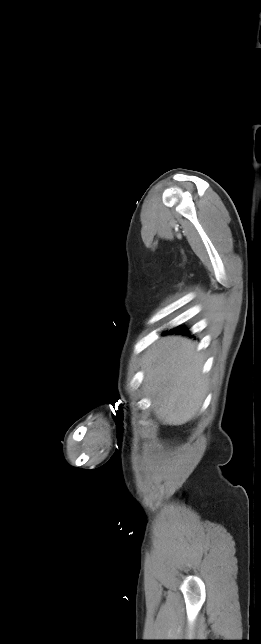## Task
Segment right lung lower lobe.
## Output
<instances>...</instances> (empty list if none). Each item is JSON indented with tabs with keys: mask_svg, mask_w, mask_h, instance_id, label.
<instances>
[{
	"mask_svg": "<svg viewBox=\"0 0 261 644\" xmlns=\"http://www.w3.org/2000/svg\"><path fill=\"white\" fill-rule=\"evenodd\" d=\"M177 331H178V333H182L184 335L189 334V331L187 329H184V328H181V327L174 328V329L170 330L169 332L175 333Z\"/></svg>",
	"mask_w": 261,
	"mask_h": 644,
	"instance_id": "obj_1",
	"label": "right lung lower lobe"
}]
</instances>
